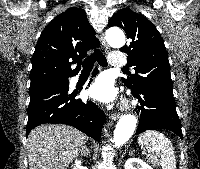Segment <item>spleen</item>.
Here are the masks:
<instances>
[{"label":"spleen","instance_id":"3e777b00","mask_svg":"<svg viewBox=\"0 0 200 169\" xmlns=\"http://www.w3.org/2000/svg\"><path fill=\"white\" fill-rule=\"evenodd\" d=\"M142 149L153 153L152 159L159 158L162 169H176V157L170 140L157 130H147L138 136Z\"/></svg>","mask_w":200,"mask_h":169}]
</instances>
